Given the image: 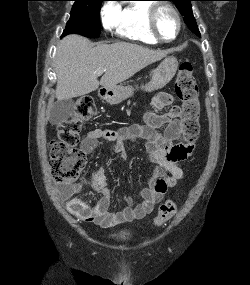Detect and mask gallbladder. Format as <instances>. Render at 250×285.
<instances>
[{
  "label": "gallbladder",
  "mask_w": 250,
  "mask_h": 285,
  "mask_svg": "<svg viewBox=\"0 0 250 285\" xmlns=\"http://www.w3.org/2000/svg\"><path fill=\"white\" fill-rule=\"evenodd\" d=\"M74 101L72 99H65L57 101L49 113V121L51 124H60L66 122L73 113Z\"/></svg>",
  "instance_id": "gallbladder-1"
}]
</instances>
